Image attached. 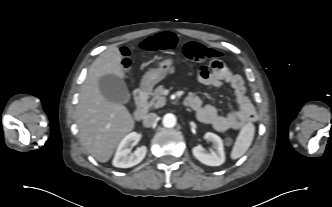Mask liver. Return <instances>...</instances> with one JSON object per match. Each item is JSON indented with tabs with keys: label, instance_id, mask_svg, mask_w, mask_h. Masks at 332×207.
<instances>
[{
	"label": "liver",
	"instance_id": "1",
	"mask_svg": "<svg viewBox=\"0 0 332 207\" xmlns=\"http://www.w3.org/2000/svg\"><path fill=\"white\" fill-rule=\"evenodd\" d=\"M122 55L110 47L99 55L88 69L82 85L76 119L82 145L99 162L111 158L120 140L133 130L135 122L127 108L107 101L99 90L101 76L113 74L124 78Z\"/></svg>",
	"mask_w": 332,
	"mask_h": 207
}]
</instances>
